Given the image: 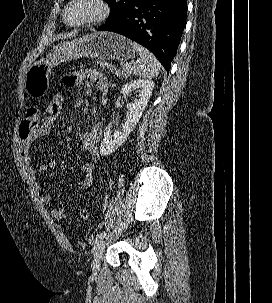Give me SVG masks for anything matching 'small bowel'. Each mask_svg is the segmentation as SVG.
I'll return each instance as SVG.
<instances>
[{"label": "small bowel", "mask_w": 272, "mask_h": 303, "mask_svg": "<svg viewBox=\"0 0 272 303\" xmlns=\"http://www.w3.org/2000/svg\"><path fill=\"white\" fill-rule=\"evenodd\" d=\"M88 80L97 87L101 101L106 103L109 86L105 75L96 69H81L70 72L63 77V82L67 86H76L82 81ZM40 110L37 106H30L25 114V117L20 125V144L19 152L20 159L28 180L34 192L39 196L43 204H50L52 202V195L50 193H41L40 184L38 181V174L45 173L49 168L56 170L58 168L57 162L51 160L48 165H42L37 170L31 165L32 154L31 147L38 139L49 135L43 132L39 127ZM103 132V123H95L91 129L83 134L78 141L79 149L87 154L89 161L82 164V172L84 174L83 180L80 184L82 190L91 188L95 180V164L100 159V154L97 150V143L100 140ZM53 217L62 219L65 216V207H57L51 211Z\"/></svg>", "instance_id": "1"}]
</instances>
